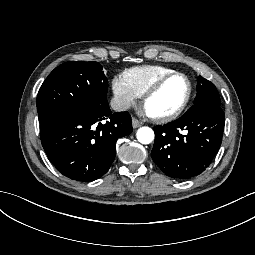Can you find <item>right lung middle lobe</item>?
<instances>
[{
  "label": "right lung middle lobe",
  "mask_w": 255,
  "mask_h": 255,
  "mask_svg": "<svg viewBox=\"0 0 255 255\" xmlns=\"http://www.w3.org/2000/svg\"><path fill=\"white\" fill-rule=\"evenodd\" d=\"M108 81L98 62L71 61L56 67L37 96L39 121L53 112L82 106L103 115L108 109Z\"/></svg>",
  "instance_id": "obj_1"
}]
</instances>
